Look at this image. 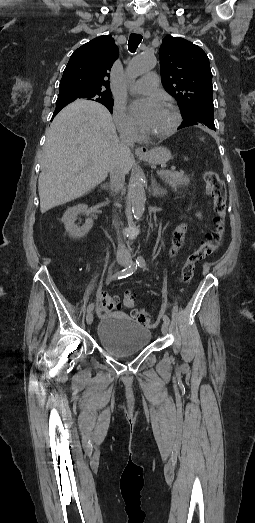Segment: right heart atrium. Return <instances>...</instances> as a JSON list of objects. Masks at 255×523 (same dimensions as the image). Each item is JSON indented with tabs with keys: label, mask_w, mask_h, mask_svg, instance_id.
Here are the masks:
<instances>
[{
	"label": "right heart atrium",
	"mask_w": 255,
	"mask_h": 523,
	"mask_svg": "<svg viewBox=\"0 0 255 523\" xmlns=\"http://www.w3.org/2000/svg\"><path fill=\"white\" fill-rule=\"evenodd\" d=\"M113 120L122 137L134 139L138 132L135 124L128 116L126 106L122 102H116L113 106Z\"/></svg>",
	"instance_id": "right-heart-atrium-1"
}]
</instances>
